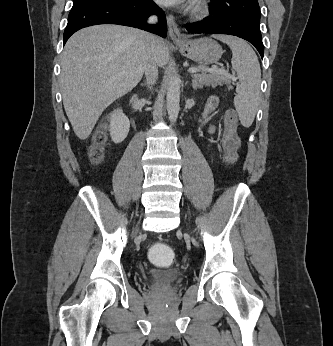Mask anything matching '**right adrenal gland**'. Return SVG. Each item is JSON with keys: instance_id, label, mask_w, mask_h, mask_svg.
Here are the masks:
<instances>
[{"instance_id": "right-adrenal-gland-1", "label": "right adrenal gland", "mask_w": 333, "mask_h": 346, "mask_svg": "<svg viewBox=\"0 0 333 346\" xmlns=\"http://www.w3.org/2000/svg\"><path fill=\"white\" fill-rule=\"evenodd\" d=\"M145 85H146V83H142V84H141V86H145Z\"/></svg>"}]
</instances>
